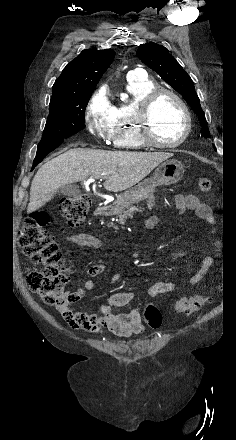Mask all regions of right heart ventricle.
<instances>
[{
  "instance_id": "1",
  "label": "right heart ventricle",
  "mask_w": 236,
  "mask_h": 440,
  "mask_svg": "<svg viewBox=\"0 0 236 440\" xmlns=\"http://www.w3.org/2000/svg\"><path fill=\"white\" fill-rule=\"evenodd\" d=\"M154 88V81L148 77H128L127 90L133 96V101L130 104L114 106L111 132L114 146L128 149H141L146 146L138 134L134 114L139 102Z\"/></svg>"
}]
</instances>
